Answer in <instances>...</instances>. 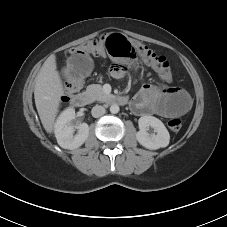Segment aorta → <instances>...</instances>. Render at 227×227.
I'll return each instance as SVG.
<instances>
[{
    "label": "aorta",
    "mask_w": 227,
    "mask_h": 227,
    "mask_svg": "<svg viewBox=\"0 0 227 227\" xmlns=\"http://www.w3.org/2000/svg\"><path fill=\"white\" fill-rule=\"evenodd\" d=\"M119 106L117 104H113L110 106V112L112 114H117L119 112Z\"/></svg>",
    "instance_id": "obj_1"
}]
</instances>
